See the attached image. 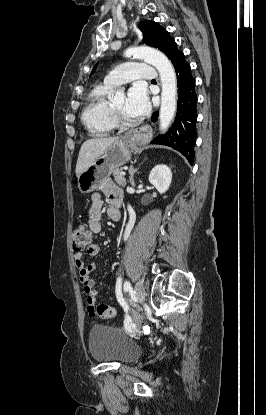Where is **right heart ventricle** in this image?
<instances>
[{
    "label": "right heart ventricle",
    "instance_id": "obj_1",
    "mask_svg": "<svg viewBox=\"0 0 266 415\" xmlns=\"http://www.w3.org/2000/svg\"><path fill=\"white\" fill-rule=\"evenodd\" d=\"M113 85L100 84L89 94L87 104L82 113V121L88 131L95 136H106L116 127L111 103L107 99Z\"/></svg>",
    "mask_w": 266,
    "mask_h": 415
}]
</instances>
